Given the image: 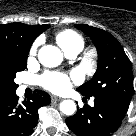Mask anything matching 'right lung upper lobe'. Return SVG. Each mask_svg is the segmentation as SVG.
<instances>
[{
    "mask_svg": "<svg viewBox=\"0 0 136 136\" xmlns=\"http://www.w3.org/2000/svg\"><path fill=\"white\" fill-rule=\"evenodd\" d=\"M48 28L49 25L30 26L23 23L0 25V46L29 51L35 38Z\"/></svg>",
    "mask_w": 136,
    "mask_h": 136,
    "instance_id": "cb5924a9",
    "label": "right lung upper lobe"
}]
</instances>
